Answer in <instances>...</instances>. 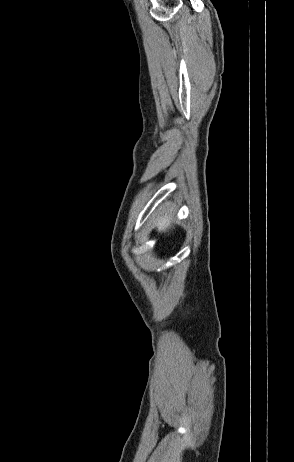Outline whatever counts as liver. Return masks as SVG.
<instances>
[{
    "instance_id": "1",
    "label": "liver",
    "mask_w": 294,
    "mask_h": 462,
    "mask_svg": "<svg viewBox=\"0 0 294 462\" xmlns=\"http://www.w3.org/2000/svg\"><path fill=\"white\" fill-rule=\"evenodd\" d=\"M173 219L169 215L161 216L157 221H155L154 226L160 231L165 232L167 228L171 226Z\"/></svg>"
}]
</instances>
